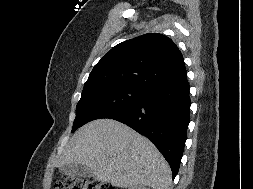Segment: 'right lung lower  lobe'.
Listing matches in <instances>:
<instances>
[{
  "instance_id": "1",
  "label": "right lung lower lobe",
  "mask_w": 253,
  "mask_h": 189,
  "mask_svg": "<svg viewBox=\"0 0 253 189\" xmlns=\"http://www.w3.org/2000/svg\"><path fill=\"white\" fill-rule=\"evenodd\" d=\"M187 78L178 83L155 86L135 104L105 118L122 122L145 135L178 173L190 122Z\"/></svg>"
}]
</instances>
